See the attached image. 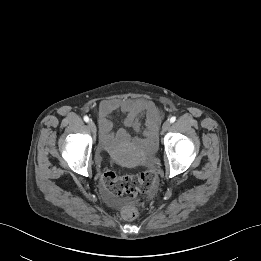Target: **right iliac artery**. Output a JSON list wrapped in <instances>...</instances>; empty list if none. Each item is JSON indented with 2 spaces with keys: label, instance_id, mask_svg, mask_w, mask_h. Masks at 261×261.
<instances>
[{
  "label": "right iliac artery",
  "instance_id": "82829eb1",
  "mask_svg": "<svg viewBox=\"0 0 261 261\" xmlns=\"http://www.w3.org/2000/svg\"><path fill=\"white\" fill-rule=\"evenodd\" d=\"M83 119H84L85 122H89V117L88 116H84Z\"/></svg>",
  "mask_w": 261,
  "mask_h": 261
}]
</instances>
